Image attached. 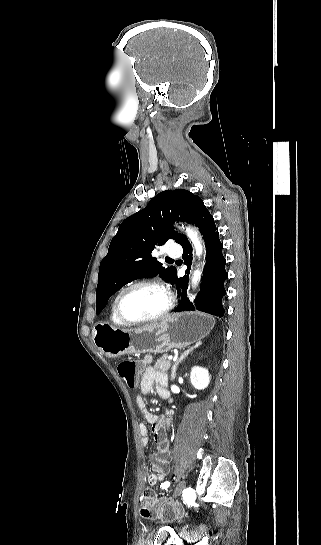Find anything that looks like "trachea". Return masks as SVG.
<instances>
[{
  "mask_svg": "<svg viewBox=\"0 0 321 545\" xmlns=\"http://www.w3.org/2000/svg\"><path fill=\"white\" fill-rule=\"evenodd\" d=\"M169 260L172 261V262L174 261L173 259H169Z\"/></svg>",
  "mask_w": 321,
  "mask_h": 545,
  "instance_id": "3493384b",
  "label": "trachea"
}]
</instances>
